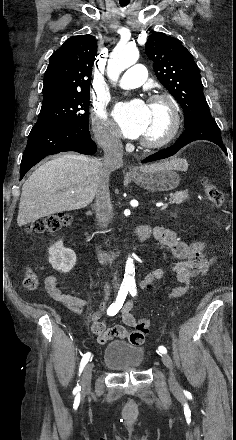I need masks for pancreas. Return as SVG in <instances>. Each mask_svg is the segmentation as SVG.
Instances as JSON below:
<instances>
[{
	"mask_svg": "<svg viewBox=\"0 0 236 440\" xmlns=\"http://www.w3.org/2000/svg\"><path fill=\"white\" fill-rule=\"evenodd\" d=\"M189 198V194L188 191H177L175 193H171L170 194V200L169 203L170 204H181L183 203L185 200H187Z\"/></svg>",
	"mask_w": 236,
	"mask_h": 440,
	"instance_id": "obj_1",
	"label": "pancreas"
}]
</instances>
